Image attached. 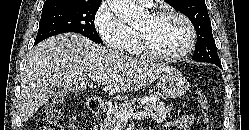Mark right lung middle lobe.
<instances>
[{
  "label": "right lung middle lobe",
  "mask_w": 249,
  "mask_h": 130,
  "mask_svg": "<svg viewBox=\"0 0 249 130\" xmlns=\"http://www.w3.org/2000/svg\"><path fill=\"white\" fill-rule=\"evenodd\" d=\"M96 2L61 0L43 5L35 44L67 32L80 33L95 43H103L95 26V14L100 6Z\"/></svg>",
  "instance_id": "1"
}]
</instances>
